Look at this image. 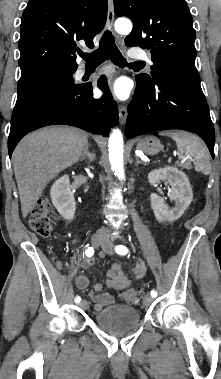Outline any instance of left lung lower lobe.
I'll use <instances>...</instances> for the list:
<instances>
[{
	"instance_id": "left-lung-lower-lobe-1",
	"label": "left lung lower lobe",
	"mask_w": 221,
	"mask_h": 379,
	"mask_svg": "<svg viewBox=\"0 0 221 379\" xmlns=\"http://www.w3.org/2000/svg\"><path fill=\"white\" fill-rule=\"evenodd\" d=\"M136 81L128 108L127 138L160 130H187L198 134L214 156V127L200 82L157 72L148 82Z\"/></svg>"
}]
</instances>
